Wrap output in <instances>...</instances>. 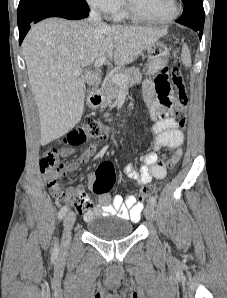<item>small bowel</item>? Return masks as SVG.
<instances>
[{
	"mask_svg": "<svg viewBox=\"0 0 227 298\" xmlns=\"http://www.w3.org/2000/svg\"><path fill=\"white\" fill-rule=\"evenodd\" d=\"M169 77H171L169 69H160L154 82L147 81L144 84L145 101L149 107L146 114L152 116L151 121L153 122L149 130L154 136V151L141 156L142 164L139 170H136L132 164H127L124 167V175L134 180L139 186H146L153 179H163L167 170L178 162L183 153L184 134L173 119L175 97L174 91H171L170 88ZM162 148H174L175 152L167 160H162L156 154V151ZM74 150V146H51L50 150L44 153L39 160L41 172L53 194H55V188L50 183L57 181V187L66 191L57 180L58 177L77 170L80 164L89 162L95 154L96 147L95 145L86 147L80 155L79 163L70 162L63 165L59 162V157L68 156ZM88 178L90 182H93L95 175L90 174ZM66 192L78 198L73 205L84 214L85 220L103 215L117 216L136 222L139 220L143 208L142 202H136L133 195L111 197L108 193L99 194L97 204H93L89 201L83 185L68 189Z\"/></svg>",
	"mask_w": 227,
	"mask_h": 298,
	"instance_id": "c3829d8e",
	"label": "small bowel"
}]
</instances>
